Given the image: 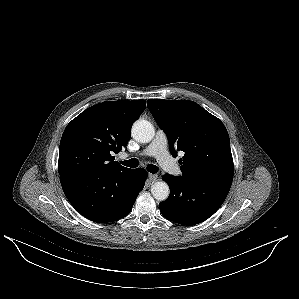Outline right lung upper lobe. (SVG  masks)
<instances>
[{
	"mask_svg": "<svg viewBox=\"0 0 299 299\" xmlns=\"http://www.w3.org/2000/svg\"><path fill=\"white\" fill-rule=\"evenodd\" d=\"M145 106V100L103 102L74 118L60 141V178L92 177L130 170L114 161L111 154L127 145L132 124Z\"/></svg>",
	"mask_w": 299,
	"mask_h": 299,
	"instance_id": "cb5924a9",
	"label": "right lung upper lobe"
}]
</instances>
